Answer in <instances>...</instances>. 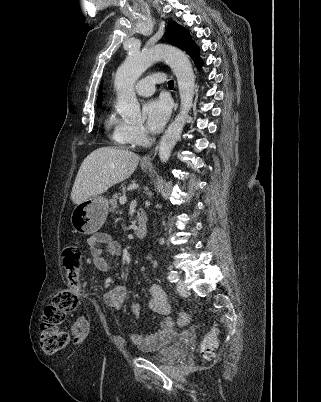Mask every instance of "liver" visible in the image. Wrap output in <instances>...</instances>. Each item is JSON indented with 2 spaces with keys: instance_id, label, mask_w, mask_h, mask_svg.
<instances>
[{
  "instance_id": "6515ba94",
  "label": "liver",
  "mask_w": 321,
  "mask_h": 402,
  "mask_svg": "<svg viewBox=\"0 0 321 402\" xmlns=\"http://www.w3.org/2000/svg\"><path fill=\"white\" fill-rule=\"evenodd\" d=\"M139 155L116 147H100L82 162L77 173L71 199L79 204L106 192L131 176L139 163Z\"/></svg>"
}]
</instances>
